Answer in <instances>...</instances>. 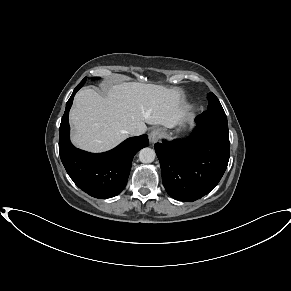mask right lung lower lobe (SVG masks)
I'll return each instance as SVG.
<instances>
[{
	"mask_svg": "<svg viewBox=\"0 0 291 291\" xmlns=\"http://www.w3.org/2000/svg\"><path fill=\"white\" fill-rule=\"evenodd\" d=\"M82 82L69 98L59 128V154L73 182L95 198H111L125 187L134 155L149 145L146 134L132 137L116 148L100 154L88 153L72 145L69 139V110L73 97Z\"/></svg>",
	"mask_w": 291,
	"mask_h": 291,
	"instance_id": "obj_1",
	"label": "right lung lower lobe"
}]
</instances>
